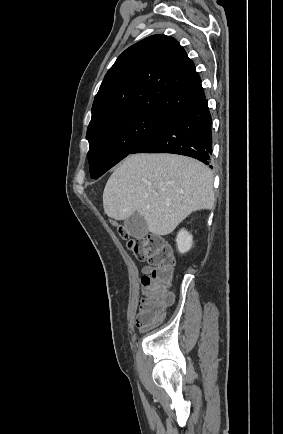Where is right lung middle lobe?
I'll return each mask as SVG.
<instances>
[{"label":"right lung middle lobe","instance_id":"obj_1","mask_svg":"<svg viewBox=\"0 0 283 434\" xmlns=\"http://www.w3.org/2000/svg\"><path fill=\"white\" fill-rule=\"evenodd\" d=\"M169 118L134 112L107 119L87 129L90 176L97 179L159 130Z\"/></svg>","mask_w":283,"mask_h":434}]
</instances>
